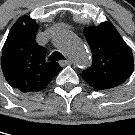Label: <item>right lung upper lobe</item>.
I'll list each match as a JSON object with an SVG mask.
<instances>
[{"label": "right lung upper lobe", "mask_w": 135, "mask_h": 135, "mask_svg": "<svg viewBox=\"0 0 135 135\" xmlns=\"http://www.w3.org/2000/svg\"><path fill=\"white\" fill-rule=\"evenodd\" d=\"M37 23L30 17H20L12 26L4 44L1 67L5 79L21 92L44 89L60 72L57 62H46L45 48L35 41Z\"/></svg>", "instance_id": "1"}]
</instances>
